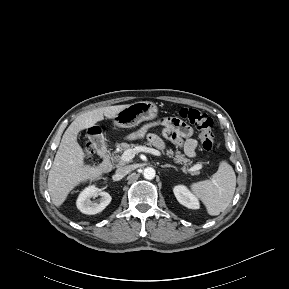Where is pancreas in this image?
Returning a JSON list of instances; mask_svg holds the SVG:
<instances>
[{
	"instance_id": "1",
	"label": "pancreas",
	"mask_w": 289,
	"mask_h": 289,
	"mask_svg": "<svg viewBox=\"0 0 289 289\" xmlns=\"http://www.w3.org/2000/svg\"><path fill=\"white\" fill-rule=\"evenodd\" d=\"M138 145L136 144H128V143H121V144H117L116 147H117V152H124L128 149H134L135 147H137ZM166 154L173 158L174 161L178 164H184V167L183 169H186V167L188 165L191 164V161L185 157L184 154H182L180 151H173L172 149H168L166 151ZM112 160L115 161V162H118L119 165H123L125 164L126 162L122 161L121 160V157L119 155H115V153L112 154ZM193 174H198L197 171H193L192 172Z\"/></svg>"
}]
</instances>
